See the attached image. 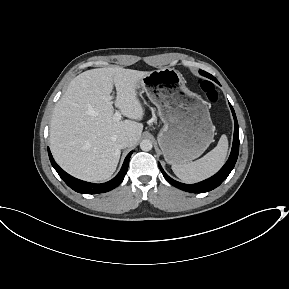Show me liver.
Masks as SVG:
<instances>
[{
	"label": "liver",
	"instance_id": "obj_1",
	"mask_svg": "<svg viewBox=\"0 0 289 289\" xmlns=\"http://www.w3.org/2000/svg\"><path fill=\"white\" fill-rule=\"evenodd\" d=\"M150 72L107 67L76 76L56 103L50 125V148L55 161L69 174L90 182L107 180L115 172L125 136L129 146L141 137L144 109L137 97L139 81ZM115 106L129 120L115 121ZM132 119V120H130ZM136 120V121H134Z\"/></svg>",
	"mask_w": 289,
	"mask_h": 289
}]
</instances>
